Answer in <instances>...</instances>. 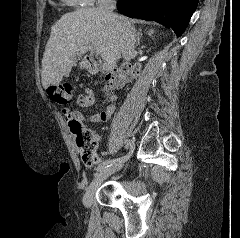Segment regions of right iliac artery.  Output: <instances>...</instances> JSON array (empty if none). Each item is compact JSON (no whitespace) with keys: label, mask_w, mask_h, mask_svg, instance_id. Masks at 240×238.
Here are the masks:
<instances>
[{"label":"right iliac artery","mask_w":240,"mask_h":238,"mask_svg":"<svg viewBox=\"0 0 240 238\" xmlns=\"http://www.w3.org/2000/svg\"><path fill=\"white\" fill-rule=\"evenodd\" d=\"M123 144H125L127 147L129 146V151L126 153V156L117 158V159H112V160H108V161H104L102 162L98 167H97V171H100L106 167L112 166L118 162H122V161H126L128 159V157H130L133 154L134 151V142L132 140H126L122 142Z\"/></svg>","instance_id":"right-iliac-artery-1"}]
</instances>
